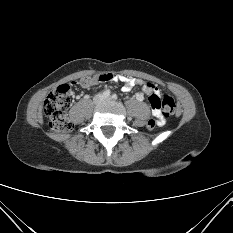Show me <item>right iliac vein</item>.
Masks as SVG:
<instances>
[{"label": "right iliac vein", "instance_id": "63e3f726", "mask_svg": "<svg viewBox=\"0 0 233 233\" xmlns=\"http://www.w3.org/2000/svg\"><path fill=\"white\" fill-rule=\"evenodd\" d=\"M102 101H103V95L98 94V95L95 96V98H94V103H95V104H99V103H101Z\"/></svg>", "mask_w": 233, "mask_h": 233}]
</instances>
